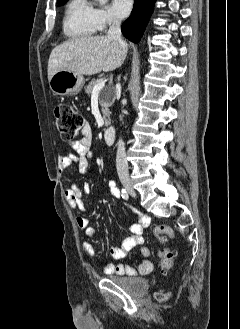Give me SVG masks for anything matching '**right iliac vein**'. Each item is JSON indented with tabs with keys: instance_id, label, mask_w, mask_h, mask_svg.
<instances>
[{
	"instance_id": "obj_1",
	"label": "right iliac vein",
	"mask_w": 240,
	"mask_h": 329,
	"mask_svg": "<svg viewBox=\"0 0 240 329\" xmlns=\"http://www.w3.org/2000/svg\"><path fill=\"white\" fill-rule=\"evenodd\" d=\"M120 180H121L124 188L129 192V194L132 196H136L130 179L127 176L123 175V176H120Z\"/></svg>"
}]
</instances>
